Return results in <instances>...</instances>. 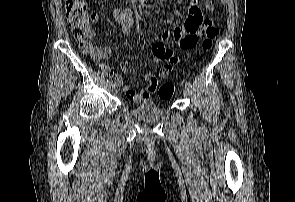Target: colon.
Wrapping results in <instances>:
<instances>
[{
	"instance_id": "colon-1",
	"label": "colon",
	"mask_w": 295,
	"mask_h": 202,
	"mask_svg": "<svg viewBox=\"0 0 295 202\" xmlns=\"http://www.w3.org/2000/svg\"><path fill=\"white\" fill-rule=\"evenodd\" d=\"M65 16L68 26L74 38L78 41L82 51H91L89 39L93 36V27L88 17L87 6L83 0H67L65 3ZM219 33L218 28L213 23H208L204 30V40L202 46L209 49L214 39ZM149 65H154V60H149ZM146 75H155V70H146ZM149 90H158V95L163 100H169L174 91L171 83L162 84L159 89V79H146Z\"/></svg>"
}]
</instances>
